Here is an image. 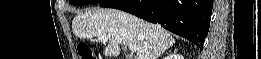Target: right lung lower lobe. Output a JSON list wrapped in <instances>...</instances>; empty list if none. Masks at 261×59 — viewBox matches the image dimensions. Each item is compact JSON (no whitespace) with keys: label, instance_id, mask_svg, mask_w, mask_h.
<instances>
[{"label":"right lung lower lobe","instance_id":"98d812e1","mask_svg":"<svg viewBox=\"0 0 261 59\" xmlns=\"http://www.w3.org/2000/svg\"><path fill=\"white\" fill-rule=\"evenodd\" d=\"M101 7L116 8L182 36L203 48L207 36L212 0H103Z\"/></svg>","mask_w":261,"mask_h":59}]
</instances>
